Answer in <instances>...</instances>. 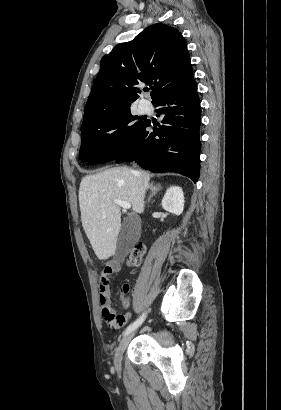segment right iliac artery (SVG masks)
<instances>
[{
  "label": "right iliac artery",
  "instance_id": "1",
  "mask_svg": "<svg viewBox=\"0 0 281 410\" xmlns=\"http://www.w3.org/2000/svg\"><path fill=\"white\" fill-rule=\"evenodd\" d=\"M146 313H143L142 316H140L138 319H136V321H134L133 323H131L126 330L123 332V335H127L130 332H132L133 330H135L145 319Z\"/></svg>",
  "mask_w": 281,
  "mask_h": 410
}]
</instances>
